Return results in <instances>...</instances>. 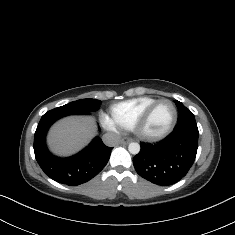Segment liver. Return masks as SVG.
<instances>
[{
    "label": "liver",
    "instance_id": "6515ba94",
    "mask_svg": "<svg viewBox=\"0 0 235 235\" xmlns=\"http://www.w3.org/2000/svg\"><path fill=\"white\" fill-rule=\"evenodd\" d=\"M96 132L92 118L70 117L58 122L49 134L51 149L68 155L83 147Z\"/></svg>",
    "mask_w": 235,
    "mask_h": 235
}]
</instances>
